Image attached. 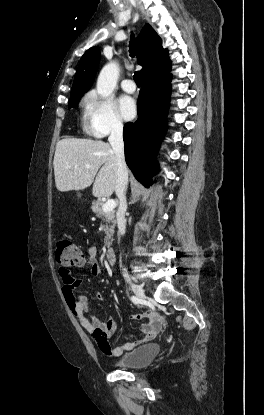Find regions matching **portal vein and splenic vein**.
Returning a JSON list of instances; mask_svg holds the SVG:
<instances>
[{"label": "portal vein and splenic vein", "mask_w": 264, "mask_h": 415, "mask_svg": "<svg viewBox=\"0 0 264 415\" xmlns=\"http://www.w3.org/2000/svg\"><path fill=\"white\" fill-rule=\"evenodd\" d=\"M116 207V202L114 200H108L105 204H103L102 210L103 212H110L113 211Z\"/></svg>", "instance_id": "obj_1"}]
</instances>
